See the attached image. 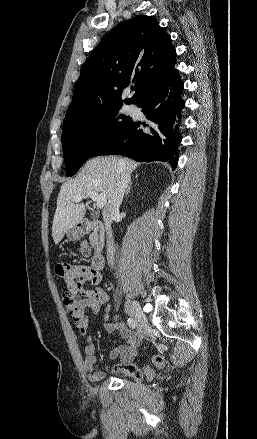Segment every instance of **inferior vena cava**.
Wrapping results in <instances>:
<instances>
[{
	"instance_id": "obj_1",
	"label": "inferior vena cava",
	"mask_w": 257,
	"mask_h": 439,
	"mask_svg": "<svg viewBox=\"0 0 257 439\" xmlns=\"http://www.w3.org/2000/svg\"><path fill=\"white\" fill-rule=\"evenodd\" d=\"M119 166L123 167V161H119ZM130 181V173L125 170L120 173L116 186L111 193L108 202L103 211V220L107 232V260L108 264L113 268L114 266V240L112 236L111 224L114 218L119 214V208L123 200L124 192Z\"/></svg>"
}]
</instances>
